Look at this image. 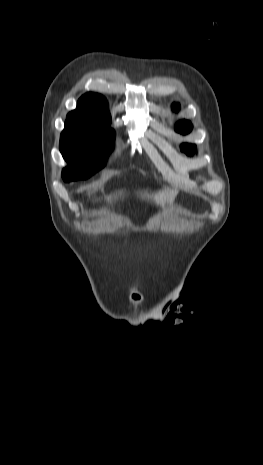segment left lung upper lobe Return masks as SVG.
<instances>
[{
    "label": "left lung upper lobe",
    "instance_id": "5c2ea615",
    "mask_svg": "<svg viewBox=\"0 0 263 465\" xmlns=\"http://www.w3.org/2000/svg\"><path fill=\"white\" fill-rule=\"evenodd\" d=\"M179 108H180L179 104L173 105V109L175 111L179 110ZM192 128H193L192 124L186 120L179 121L175 125V131L182 133V134L189 133L192 130ZM195 149H196L195 145H191L187 143L181 145V150L187 153L188 155H193L195 153Z\"/></svg>",
    "mask_w": 263,
    "mask_h": 465
}]
</instances>
